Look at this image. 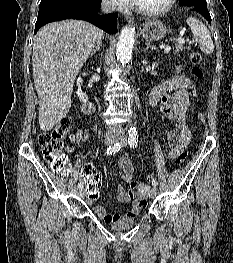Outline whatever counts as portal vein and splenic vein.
Segmentation results:
<instances>
[{
	"label": "portal vein and splenic vein",
	"instance_id": "portal-vein-and-splenic-vein-1",
	"mask_svg": "<svg viewBox=\"0 0 233 263\" xmlns=\"http://www.w3.org/2000/svg\"><path fill=\"white\" fill-rule=\"evenodd\" d=\"M177 41H178L179 43H183L185 40H184L183 37H179V38L177 39ZM170 49H171L170 46L165 47V48H164V53H168V52L170 51Z\"/></svg>",
	"mask_w": 233,
	"mask_h": 263
}]
</instances>
